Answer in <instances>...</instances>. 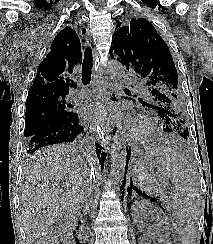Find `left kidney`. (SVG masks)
Segmentation results:
<instances>
[{"mask_svg":"<svg viewBox=\"0 0 213 244\" xmlns=\"http://www.w3.org/2000/svg\"><path fill=\"white\" fill-rule=\"evenodd\" d=\"M132 215L135 223H143L147 219L153 223L152 237L158 240V244H172L165 220L154 205L146 201L135 202Z\"/></svg>","mask_w":213,"mask_h":244,"instance_id":"5707ae66","label":"left kidney"}]
</instances>
